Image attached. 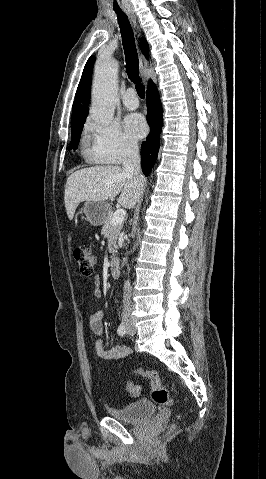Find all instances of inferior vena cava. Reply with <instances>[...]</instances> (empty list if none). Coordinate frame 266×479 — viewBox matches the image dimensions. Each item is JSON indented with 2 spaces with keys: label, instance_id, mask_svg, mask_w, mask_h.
<instances>
[{
  "label": "inferior vena cava",
  "instance_id": "1",
  "mask_svg": "<svg viewBox=\"0 0 266 479\" xmlns=\"http://www.w3.org/2000/svg\"><path fill=\"white\" fill-rule=\"evenodd\" d=\"M123 170L137 178L143 177L141 174L139 149L135 143H129L124 150ZM131 295L132 287L130 281L126 280L123 287L122 319H128L131 315Z\"/></svg>",
  "mask_w": 266,
  "mask_h": 479
}]
</instances>
